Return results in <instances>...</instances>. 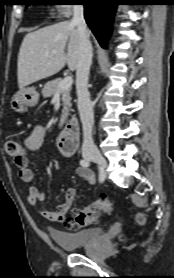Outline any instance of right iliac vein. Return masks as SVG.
Masks as SVG:
<instances>
[{
    "instance_id": "63e3f726",
    "label": "right iliac vein",
    "mask_w": 174,
    "mask_h": 278,
    "mask_svg": "<svg viewBox=\"0 0 174 278\" xmlns=\"http://www.w3.org/2000/svg\"><path fill=\"white\" fill-rule=\"evenodd\" d=\"M85 158L87 160H92L96 162L102 170L105 169L107 166L105 158L101 155L99 151L88 152L85 154Z\"/></svg>"
}]
</instances>
